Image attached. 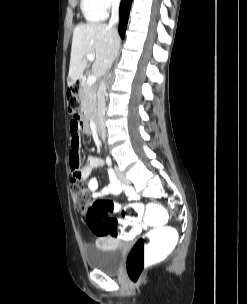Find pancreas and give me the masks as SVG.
<instances>
[{
    "label": "pancreas",
    "mask_w": 247,
    "mask_h": 304,
    "mask_svg": "<svg viewBox=\"0 0 247 304\" xmlns=\"http://www.w3.org/2000/svg\"><path fill=\"white\" fill-rule=\"evenodd\" d=\"M84 89L79 90V98L81 101V109L88 116H92L96 113V91L87 84L82 83Z\"/></svg>",
    "instance_id": "obj_1"
}]
</instances>
